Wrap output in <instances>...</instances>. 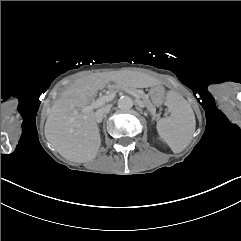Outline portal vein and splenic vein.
Returning <instances> with one entry per match:
<instances>
[{
    "mask_svg": "<svg viewBox=\"0 0 241 241\" xmlns=\"http://www.w3.org/2000/svg\"><path fill=\"white\" fill-rule=\"evenodd\" d=\"M125 91H126V92H129L133 97L137 98L138 101H141V100H142V97H141V96H137V93H136V92H132V91L129 90V89H126ZM115 95H116V93H115V92H112V93H110V94L103 95V96L99 97L96 101H93L90 105L85 106V107L82 109V112H83V113L90 112V111H92L93 109L102 106V105L105 104L106 102H111V101L115 98Z\"/></svg>",
    "mask_w": 241,
    "mask_h": 241,
    "instance_id": "portal-vein-and-splenic-vein-1",
    "label": "portal vein and splenic vein"
}]
</instances>
